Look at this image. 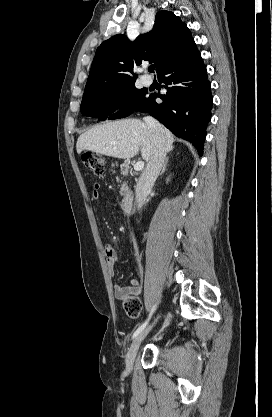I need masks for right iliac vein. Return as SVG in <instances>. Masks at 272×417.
I'll list each match as a JSON object with an SVG mask.
<instances>
[{"mask_svg": "<svg viewBox=\"0 0 272 417\" xmlns=\"http://www.w3.org/2000/svg\"><path fill=\"white\" fill-rule=\"evenodd\" d=\"M155 323V322H154ZM153 323V324H154ZM149 326L147 329H145L143 332H141L138 336L135 337V339L133 340L129 351L127 353V357H126V369L128 372H130L132 370L133 367V363L135 360V357L137 355L138 349L142 343V341L144 340V338L146 337V335L149 333V331L151 330L152 326Z\"/></svg>", "mask_w": 272, "mask_h": 417, "instance_id": "1", "label": "right iliac vein"}]
</instances>
